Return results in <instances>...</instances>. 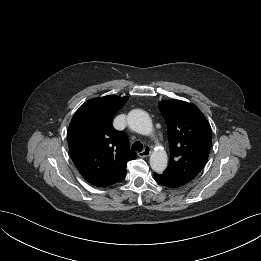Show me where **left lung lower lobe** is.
Masks as SVG:
<instances>
[{"label":"left lung lower lobe","instance_id":"left-lung-lower-lobe-1","mask_svg":"<svg viewBox=\"0 0 261 261\" xmlns=\"http://www.w3.org/2000/svg\"><path fill=\"white\" fill-rule=\"evenodd\" d=\"M154 179L159 184L166 186V187H170V188H177V187L184 185L183 183H181L173 178H170L164 174L154 173Z\"/></svg>","mask_w":261,"mask_h":261}]
</instances>
